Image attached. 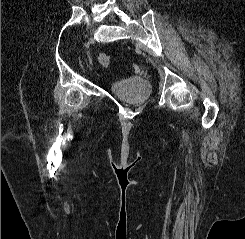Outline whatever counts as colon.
<instances>
[{"instance_id": "5ec220e1", "label": "colon", "mask_w": 245, "mask_h": 239, "mask_svg": "<svg viewBox=\"0 0 245 239\" xmlns=\"http://www.w3.org/2000/svg\"><path fill=\"white\" fill-rule=\"evenodd\" d=\"M111 57L108 54H101L99 56V63L102 66H108L110 64Z\"/></svg>"}]
</instances>
